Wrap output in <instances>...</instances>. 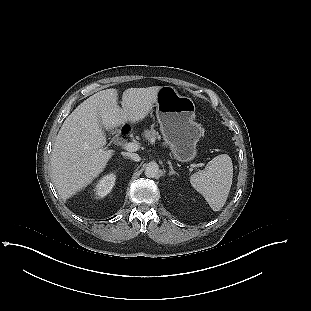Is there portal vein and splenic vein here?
<instances>
[{
	"instance_id": "portal-vein-and-splenic-vein-1",
	"label": "portal vein and splenic vein",
	"mask_w": 311,
	"mask_h": 311,
	"mask_svg": "<svg viewBox=\"0 0 311 311\" xmlns=\"http://www.w3.org/2000/svg\"><path fill=\"white\" fill-rule=\"evenodd\" d=\"M139 148L140 146L133 142H129L123 145V149L130 151V152L137 151Z\"/></svg>"
}]
</instances>
